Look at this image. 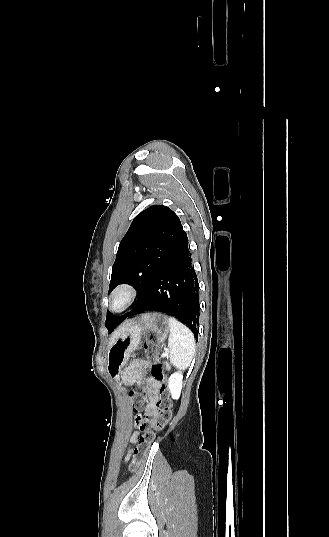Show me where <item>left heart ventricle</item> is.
I'll use <instances>...</instances> for the list:
<instances>
[{
    "instance_id": "left-heart-ventricle-1",
    "label": "left heart ventricle",
    "mask_w": 329,
    "mask_h": 537,
    "mask_svg": "<svg viewBox=\"0 0 329 537\" xmlns=\"http://www.w3.org/2000/svg\"><path fill=\"white\" fill-rule=\"evenodd\" d=\"M123 302H124V297H122V296L117 297L115 299V301H114V307L117 308V309L120 308L122 306Z\"/></svg>"
}]
</instances>
